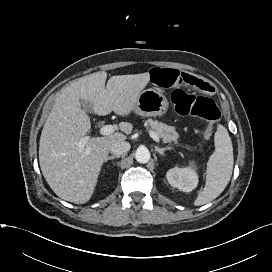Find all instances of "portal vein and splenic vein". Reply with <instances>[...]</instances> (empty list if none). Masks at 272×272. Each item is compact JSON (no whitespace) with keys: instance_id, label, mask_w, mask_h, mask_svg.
Here are the masks:
<instances>
[{"instance_id":"portal-vein-and-splenic-vein-1","label":"portal vein and splenic vein","mask_w":272,"mask_h":272,"mask_svg":"<svg viewBox=\"0 0 272 272\" xmlns=\"http://www.w3.org/2000/svg\"><path fill=\"white\" fill-rule=\"evenodd\" d=\"M113 132H114V126H112V125H104V126H102V127L100 128V130H99V133H100L101 135H104V136L110 135V134H112ZM149 134H150L151 138H152L154 141H156L157 143L160 142V139H159V137L157 136V134H156L155 132L149 131ZM89 139H90L89 136L83 137V138L80 140L79 145H80V146H83L85 143H87V141H88Z\"/></svg>"}]
</instances>
